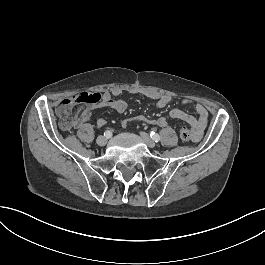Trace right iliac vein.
<instances>
[{
    "instance_id": "right-iliac-vein-1",
    "label": "right iliac vein",
    "mask_w": 265,
    "mask_h": 265,
    "mask_svg": "<svg viewBox=\"0 0 265 265\" xmlns=\"http://www.w3.org/2000/svg\"><path fill=\"white\" fill-rule=\"evenodd\" d=\"M97 143L100 146H104L107 143V138L101 135L97 138Z\"/></svg>"
}]
</instances>
